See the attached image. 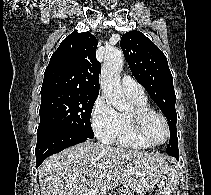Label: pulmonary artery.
<instances>
[{"mask_svg": "<svg viewBox=\"0 0 211 195\" xmlns=\"http://www.w3.org/2000/svg\"><path fill=\"white\" fill-rule=\"evenodd\" d=\"M122 89L124 93L131 97H145V92L143 87L132 77L130 76H123L121 80Z\"/></svg>", "mask_w": 211, "mask_h": 195, "instance_id": "e3ab8cb5", "label": "pulmonary artery"}]
</instances>
